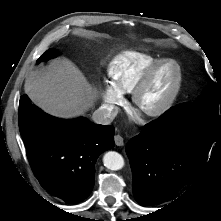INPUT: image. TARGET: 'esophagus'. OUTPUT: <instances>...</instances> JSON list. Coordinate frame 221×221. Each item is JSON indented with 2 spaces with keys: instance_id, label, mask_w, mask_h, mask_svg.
<instances>
[{
  "instance_id": "1",
  "label": "esophagus",
  "mask_w": 221,
  "mask_h": 221,
  "mask_svg": "<svg viewBox=\"0 0 221 221\" xmlns=\"http://www.w3.org/2000/svg\"><path fill=\"white\" fill-rule=\"evenodd\" d=\"M114 141H115V144L117 146H123L124 145L123 137L119 134L114 136Z\"/></svg>"
}]
</instances>
